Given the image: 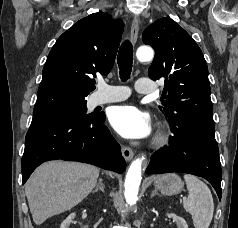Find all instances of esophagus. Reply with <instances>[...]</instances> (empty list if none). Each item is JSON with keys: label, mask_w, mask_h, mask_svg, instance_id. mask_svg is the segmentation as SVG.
Returning <instances> with one entry per match:
<instances>
[{"label": "esophagus", "mask_w": 238, "mask_h": 228, "mask_svg": "<svg viewBox=\"0 0 238 228\" xmlns=\"http://www.w3.org/2000/svg\"><path fill=\"white\" fill-rule=\"evenodd\" d=\"M138 33H139V21L137 18H134L132 20L131 31H130V37L133 44H135L138 39ZM121 150H122V155L126 161H130L133 158L134 151L131 148L122 146Z\"/></svg>", "instance_id": "esophagus-1"}]
</instances>
